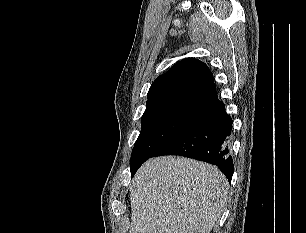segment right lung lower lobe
Listing matches in <instances>:
<instances>
[{
    "instance_id": "right-lung-lower-lobe-1",
    "label": "right lung lower lobe",
    "mask_w": 306,
    "mask_h": 233,
    "mask_svg": "<svg viewBox=\"0 0 306 233\" xmlns=\"http://www.w3.org/2000/svg\"><path fill=\"white\" fill-rule=\"evenodd\" d=\"M231 129L232 119L218 100L205 107L151 157L180 155L198 159L217 165L231 181L234 172L229 149Z\"/></svg>"
}]
</instances>
